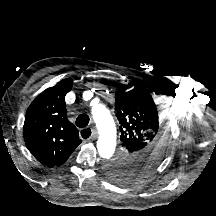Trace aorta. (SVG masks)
<instances>
[{"mask_svg": "<svg viewBox=\"0 0 216 216\" xmlns=\"http://www.w3.org/2000/svg\"><path fill=\"white\" fill-rule=\"evenodd\" d=\"M92 115L99 131L98 153L100 157L109 159L116 147V125L110 112L103 105L95 106Z\"/></svg>", "mask_w": 216, "mask_h": 216, "instance_id": "obj_1", "label": "aorta"}]
</instances>
